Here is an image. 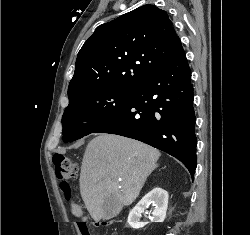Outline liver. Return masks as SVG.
Returning <instances> with one entry per match:
<instances>
[{
    "mask_svg": "<svg viewBox=\"0 0 250 235\" xmlns=\"http://www.w3.org/2000/svg\"><path fill=\"white\" fill-rule=\"evenodd\" d=\"M160 155L147 144L115 134L92 139L83 156L80 193L93 220L103 218V203L109 196L122 206L130 205L158 167Z\"/></svg>",
    "mask_w": 250,
    "mask_h": 235,
    "instance_id": "6515ba94",
    "label": "liver"
}]
</instances>
